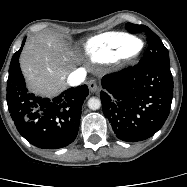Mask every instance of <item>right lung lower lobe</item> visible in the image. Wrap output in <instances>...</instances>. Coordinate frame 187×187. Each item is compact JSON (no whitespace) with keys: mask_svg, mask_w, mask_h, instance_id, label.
<instances>
[{"mask_svg":"<svg viewBox=\"0 0 187 187\" xmlns=\"http://www.w3.org/2000/svg\"><path fill=\"white\" fill-rule=\"evenodd\" d=\"M25 39L22 42V47ZM22 47L13 55L7 81V104L19 133L32 145L58 149L72 143L78 133L86 85L69 88L54 98L29 93L20 70Z\"/></svg>","mask_w":187,"mask_h":187,"instance_id":"1","label":"right lung lower lobe"}]
</instances>
